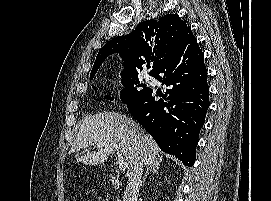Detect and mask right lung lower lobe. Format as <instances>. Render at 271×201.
Here are the masks:
<instances>
[{"instance_id":"obj_1","label":"right lung lower lobe","mask_w":271,"mask_h":201,"mask_svg":"<svg viewBox=\"0 0 271 201\" xmlns=\"http://www.w3.org/2000/svg\"><path fill=\"white\" fill-rule=\"evenodd\" d=\"M153 77L169 87L163 99L155 100L156 93L149 89L127 102L128 110L162 151L191 167L209 107L207 69L196 38L185 39Z\"/></svg>"}]
</instances>
